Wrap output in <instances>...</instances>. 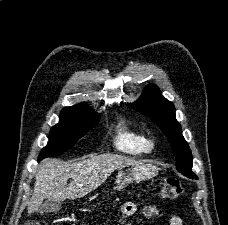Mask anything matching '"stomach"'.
Segmentation results:
<instances>
[{"label": "stomach", "instance_id": "1", "mask_svg": "<svg viewBox=\"0 0 228 225\" xmlns=\"http://www.w3.org/2000/svg\"><path fill=\"white\" fill-rule=\"evenodd\" d=\"M155 171L151 165H145V163H133V165H127V169H118L115 191H121L124 187H128L130 183H140L145 179H151Z\"/></svg>", "mask_w": 228, "mask_h": 225}]
</instances>
